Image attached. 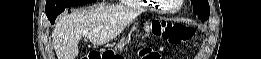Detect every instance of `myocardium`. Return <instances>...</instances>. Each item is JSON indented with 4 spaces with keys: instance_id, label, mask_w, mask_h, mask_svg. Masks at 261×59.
<instances>
[{
    "instance_id": "1",
    "label": "myocardium",
    "mask_w": 261,
    "mask_h": 59,
    "mask_svg": "<svg viewBox=\"0 0 261 59\" xmlns=\"http://www.w3.org/2000/svg\"><path fill=\"white\" fill-rule=\"evenodd\" d=\"M158 3L166 2V1H157ZM168 11H173L174 9L166 8Z\"/></svg>"
}]
</instances>
